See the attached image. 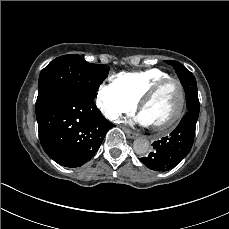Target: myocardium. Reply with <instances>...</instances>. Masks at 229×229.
Wrapping results in <instances>:
<instances>
[{
    "label": "myocardium",
    "mask_w": 229,
    "mask_h": 229,
    "mask_svg": "<svg viewBox=\"0 0 229 229\" xmlns=\"http://www.w3.org/2000/svg\"><path fill=\"white\" fill-rule=\"evenodd\" d=\"M172 81L177 82L173 86V89L175 91L174 92L175 105L172 109V113L170 114V116H168L167 120H165L164 122V125H165L164 128H153L152 127L153 131L157 135H167L171 133L182 122V120L185 118L188 112L189 105H190V99H189V95H188V92L186 90V87L183 81L180 78L174 77V76H170V77H167L161 80L160 82H158L154 87H152L149 90V92L141 100L140 105H139V112L141 113V111L145 108L146 103L150 100V98L160 88H162L163 86H165L166 84ZM183 96H184V101H183ZM183 104H184V108H183ZM182 108H183V111H182Z\"/></svg>",
    "instance_id": "1"
}]
</instances>
